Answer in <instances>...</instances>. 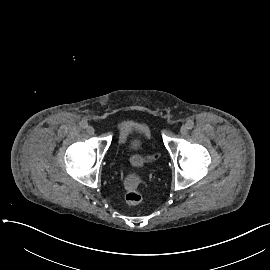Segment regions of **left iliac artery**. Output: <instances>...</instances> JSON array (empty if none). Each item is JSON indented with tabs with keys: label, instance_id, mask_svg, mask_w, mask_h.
Segmentation results:
<instances>
[{
	"label": "left iliac artery",
	"instance_id": "44dca946",
	"mask_svg": "<svg viewBox=\"0 0 270 270\" xmlns=\"http://www.w3.org/2000/svg\"><path fill=\"white\" fill-rule=\"evenodd\" d=\"M187 129H192L194 127V122L192 120H188L186 122Z\"/></svg>",
	"mask_w": 270,
	"mask_h": 270
}]
</instances>
